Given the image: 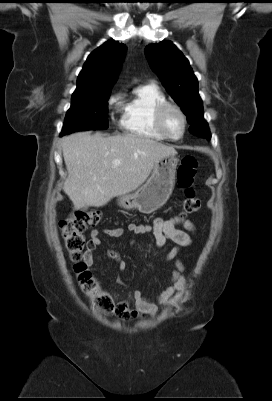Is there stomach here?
<instances>
[{"label": "stomach", "mask_w": 272, "mask_h": 401, "mask_svg": "<svg viewBox=\"0 0 272 401\" xmlns=\"http://www.w3.org/2000/svg\"><path fill=\"white\" fill-rule=\"evenodd\" d=\"M178 162L175 155L161 158L155 163L147 182L135 193L122 196L118 200L119 205L127 210L137 209L144 214L161 208L173 191Z\"/></svg>", "instance_id": "1"}]
</instances>
